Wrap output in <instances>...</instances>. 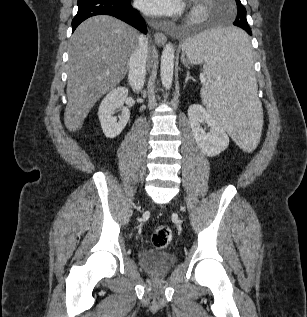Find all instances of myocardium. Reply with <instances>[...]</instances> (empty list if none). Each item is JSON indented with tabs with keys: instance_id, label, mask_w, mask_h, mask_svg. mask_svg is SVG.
<instances>
[{
	"instance_id": "myocardium-1",
	"label": "myocardium",
	"mask_w": 307,
	"mask_h": 317,
	"mask_svg": "<svg viewBox=\"0 0 307 317\" xmlns=\"http://www.w3.org/2000/svg\"><path fill=\"white\" fill-rule=\"evenodd\" d=\"M206 16V9L202 4L194 5L188 15V20L190 22H199Z\"/></svg>"
}]
</instances>
